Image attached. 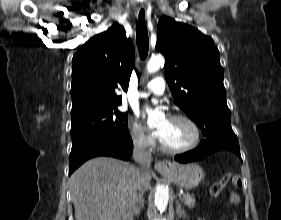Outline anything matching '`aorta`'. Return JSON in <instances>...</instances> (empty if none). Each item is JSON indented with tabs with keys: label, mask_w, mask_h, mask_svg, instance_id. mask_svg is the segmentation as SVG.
I'll return each instance as SVG.
<instances>
[{
	"label": "aorta",
	"mask_w": 281,
	"mask_h": 220,
	"mask_svg": "<svg viewBox=\"0 0 281 220\" xmlns=\"http://www.w3.org/2000/svg\"><path fill=\"white\" fill-rule=\"evenodd\" d=\"M164 65V57L162 55L152 56L147 63V71L149 73H154L160 69ZM146 112L148 115L147 124L148 126H154L157 118L159 116V112L156 110H152L149 107H146ZM155 204L161 212L164 211L168 205L169 200V190L165 185H158L155 190Z\"/></svg>",
	"instance_id": "1"
}]
</instances>
